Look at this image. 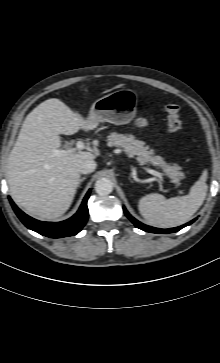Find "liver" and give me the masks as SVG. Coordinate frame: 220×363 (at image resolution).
Listing matches in <instances>:
<instances>
[{
  "instance_id": "6515ba94",
  "label": "liver",
  "mask_w": 220,
  "mask_h": 363,
  "mask_svg": "<svg viewBox=\"0 0 220 363\" xmlns=\"http://www.w3.org/2000/svg\"><path fill=\"white\" fill-rule=\"evenodd\" d=\"M94 127L61 100L51 98L25 118L8 162V185L14 202L29 214L53 220L70 207L80 180L79 166L98 151L53 155L61 147L60 135H73Z\"/></svg>"
}]
</instances>
